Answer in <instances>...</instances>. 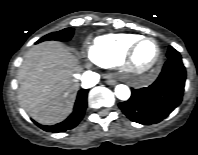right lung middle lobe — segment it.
Wrapping results in <instances>:
<instances>
[{
	"mask_svg": "<svg viewBox=\"0 0 198 155\" xmlns=\"http://www.w3.org/2000/svg\"><path fill=\"white\" fill-rule=\"evenodd\" d=\"M73 35V29L72 28H66L64 30L50 33L41 39H39L36 43L47 41V40H57V41H67L69 40Z\"/></svg>",
	"mask_w": 198,
	"mask_h": 155,
	"instance_id": "1",
	"label": "right lung middle lobe"
}]
</instances>
